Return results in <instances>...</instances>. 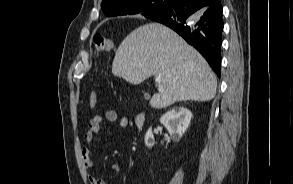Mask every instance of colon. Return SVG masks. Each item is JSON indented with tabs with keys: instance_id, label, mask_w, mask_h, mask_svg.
Masks as SVG:
<instances>
[{
	"instance_id": "obj_1",
	"label": "colon",
	"mask_w": 293,
	"mask_h": 184,
	"mask_svg": "<svg viewBox=\"0 0 293 184\" xmlns=\"http://www.w3.org/2000/svg\"><path fill=\"white\" fill-rule=\"evenodd\" d=\"M114 47V41L109 37L103 35H95L93 38V48L96 56L100 55L103 52H111L114 50ZM96 102L97 92L92 91L89 99L90 106L93 108L96 105Z\"/></svg>"
}]
</instances>
